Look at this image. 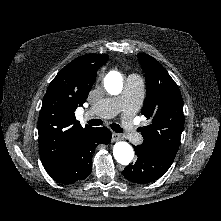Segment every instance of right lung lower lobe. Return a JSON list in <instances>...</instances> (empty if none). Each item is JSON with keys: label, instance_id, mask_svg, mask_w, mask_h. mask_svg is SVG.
<instances>
[{"label": "right lung lower lobe", "instance_id": "98d812e1", "mask_svg": "<svg viewBox=\"0 0 221 221\" xmlns=\"http://www.w3.org/2000/svg\"><path fill=\"white\" fill-rule=\"evenodd\" d=\"M112 133L106 127L92 128L74 142L61 172L53 179L62 184H73L88 177L92 168V154L99 144H108Z\"/></svg>", "mask_w": 221, "mask_h": 221}]
</instances>
